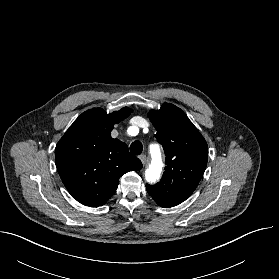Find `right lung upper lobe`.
<instances>
[{
    "instance_id": "1",
    "label": "right lung upper lobe",
    "mask_w": 279,
    "mask_h": 279,
    "mask_svg": "<svg viewBox=\"0 0 279 279\" xmlns=\"http://www.w3.org/2000/svg\"><path fill=\"white\" fill-rule=\"evenodd\" d=\"M122 108L107 114L101 108L82 113L56 146L55 162L69 193L81 204L98 207L116 192L119 178L142 168L125 143L111 137L114 124L130 115Z\"/></svg>"
}]
</instances>
